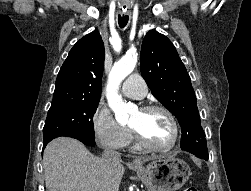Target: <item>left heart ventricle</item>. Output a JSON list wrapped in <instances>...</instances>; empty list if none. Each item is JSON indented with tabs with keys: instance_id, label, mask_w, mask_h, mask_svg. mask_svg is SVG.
Listing matches in <instances>:
<instances>
[{
	"instance_id": "left-heart-ventricle-1",
	"label": "left heart ventricle",
	"mask_w": 251,
	"mask_h": 191,
	"mask_svg": "<svg viewBox=\"0 0 251 191\" xmlns=\"http://www.w3.org/2000/svg\"><path fill=\"white\" fill-rule=\"evenodd\" d=\"M131 125L138 129L154 147L168 148L174 142L172 122L162 111H137Z\"/></svg>"
}]
</instances>
